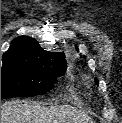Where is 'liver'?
I'll return each mask as SVG.
<instances>
[{"label":"liver","mask_w":122,"mask_h":123,"mask_svg":"<svg viewBox=\"0 0 122 123\" xmlns=\"http://www.w3.org/2000/svg\"><path fill=\"white\" fill-rule=\"evenodd\" d=\"M1 123H94L85 113L71 107L46 108L30 101H9L1 106Z\"/></svg>","instance_id":"1"}]
</instances>
